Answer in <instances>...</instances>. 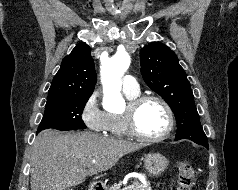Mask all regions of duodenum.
Returning a JSON list of instances; mask_svg holds the SVG:
<instances>
[{"label":"duodenum","mask_w":238,"mask_h":190,"mask_svg":"<svg viewBox=\"0 0 238 190\" xmlns=\"http://www.w3.org/2000/svg\"><path fill=\"white\" fill-rule=\"evenodd\" d=\"M89 190H104V186L101 183L93 182L90 185Z\"/></svg>","instance_id":"1"}]
</instances>
